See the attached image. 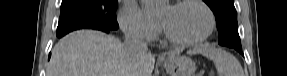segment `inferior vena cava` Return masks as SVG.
Here are the masks:
<instances>
[{"label":"inferior vena cava","mask_w":287,"mask_h":76,"mask_svg":"<svg viewBox=\"0 0 287 76\" xmlns=\"http://www.w3.org/2000/svg\"><path fill=\"white\" fill-rule=\"evenodd\" d=\"M124 51L129 57H140L147 54L148 46L140 30L135 26L126 27L124 30Z\"/></svg>","instance_id":"inferior-vena-cava-1"}]
</instances>
